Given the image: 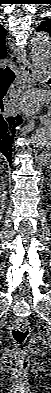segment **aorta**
<instances>
[{
	"mask_svg": "<svg viewBox=\"0 0 51 393\" xmlns=\"http://www.w3.org/2000/svg\"><path fill=\"white\" fill-rule=\"evenodd\" d=\"M51 56V38L47 33H36L31 37V61L38 79L47 77V67ZM51 141V127L45 126L36 131L33 143L45 146Z\"/></svg>",
	"mask_w": 51,
	"mask_h": 393,
	"instance_id": "762f6f07",
	"label": "aorta"
}]
</instances>
